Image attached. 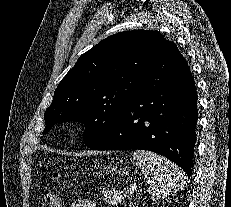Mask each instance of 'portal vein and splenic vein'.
Listing matches in <instances>:
<instances>
[{"label":"portal vein and splenic vein","instance_id":"obj_1","mask_svg":"<svg viewBox=\"0 0 231 207\" xmlns=\"http://www.w3.org/2000/svg\"><path fill=\"white\" fill-rule=\"evenodd\" d=\"M136 185H133L131 188H129L126 192L127 193H130V194H132V193H134V191H136Z\"/></svg>","mask_w":231,"mask_h":207}]
</instances>
